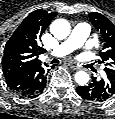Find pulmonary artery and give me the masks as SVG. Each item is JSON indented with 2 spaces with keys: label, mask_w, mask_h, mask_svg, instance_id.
Instances as JSON below:
<instances>
[{
  "label": "pulmonary artery",
  "mask_w": 115,
  "mask_h": 119,
  "mask_svg": "<svg viewBox=\"0 0 115 119\" xmlns=\"http://www.w3.org/2000/svg\"><path fill=\"white\" fill-rule=\"evenodd\" d=\"M90 33V26L86 23H79L75 26L70 36L60 43L54 50L55 56H65L72 51L84 46Z\"/></svg>",
  "instance_id": "obj_1"
}]
</instances>
